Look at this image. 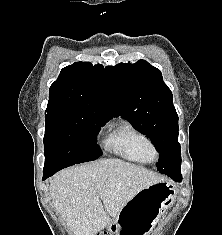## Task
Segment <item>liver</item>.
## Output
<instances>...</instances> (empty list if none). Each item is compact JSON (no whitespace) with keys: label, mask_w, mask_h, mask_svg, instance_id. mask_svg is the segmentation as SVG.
<instances>
[{"label":"liver","mask_w":222,"mask_h":235,"mask_svg":"<svg viewBox=\"0 0 222 235\" xmlns=\"http://www.w3.org/2000/svg\"><path fill=\"white\" fill-rule=\"evenodd\" d=\"M164 181L120 159H102L58 172L50 181L57 211L74 235H96L141 190Z\"/></svg>","instance_id":"obj_1"}]
</instances>
